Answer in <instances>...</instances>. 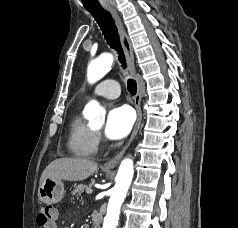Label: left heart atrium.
<instances>
[{
  "instance_id": "left-heart-atrium-1",
  "label": "left heart atrium",
  "mask_w": 238,
  "mask_h": 228,
  "mask_svg": "<svg viewBox=\"0 0 238 228\" xmlns=\"http://www.w3.org/2000/svg\"><path fill=\"white\" fill-rule=\"evenodd\" d=\"M133 110L126 105L112 107L106 118L105 136L110 140H120L126 137L134 123Z\"/></svg>"
}]
</instances>
